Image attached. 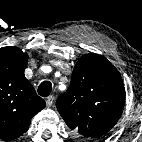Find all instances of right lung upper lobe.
<instances>
[{"instance_id":"cb5924a9","label":"right lung upper lobe","mask_w":142,"mask_h":142,"mask_svg":"<svg viewBox=\"0 0 142 142\" xmlns=\"http://www.w3.org/2000/svg\"><path fill=\"white\" fill-rule=\"evenodd\" d=\"M27 62L28 55L19 48H0V139L21 136L46 105L25 78Z\"/></svg>"}]
</instances>
